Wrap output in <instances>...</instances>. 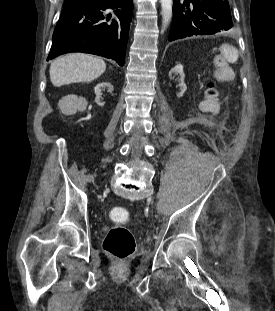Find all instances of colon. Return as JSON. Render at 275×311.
Segmentation results:
<instances>
[{"mask_svg": "<svg viewBox=\"0 0 275 311\" xmlns=\"http://www.w3.org/2000/svg\"><path fill=\"white\" fill-rule=\"evenodd\" d=\"M110 217L118 223L108 230L103 241V249L121 265L133 255L136 248L133 233L123 225L129 221L130 215L126 209L114 207L110 210Z\"/></svg>", "mask_w": 275, "mask_h": 311, "instance_id": "colon-1", "label": "colon"}]
</instances>
